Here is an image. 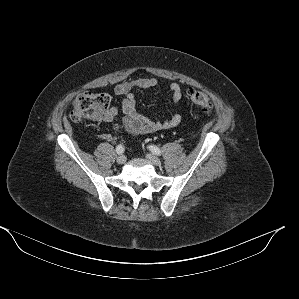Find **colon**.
<instances>
[{
  "mask_svg": "<svg viewBox=\"0 0 299 299\" xmlns=\"http://www.w3.org/2000/svg\"><path fill=\"white\" fill-rule=\"evenodd\" d=\"M189 98L204 113L212 112V102L206 93L190 90ZM109 104L110 97L107 94L81 93L73 100L71 118L75 122L99 120L108 110Z\"/></svg>",
  "mask_w": 299,
  "mask_h": 299,
  "instance_id": "1",
  "label": "colon"
}]
</instances>
